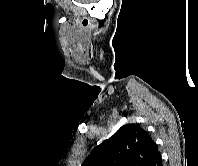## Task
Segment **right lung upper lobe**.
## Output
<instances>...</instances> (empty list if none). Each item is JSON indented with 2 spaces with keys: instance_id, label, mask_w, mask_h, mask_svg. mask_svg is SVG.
<instances>
[{
  "instance_id": "cb5924a9",
  "label": "right lung upper lobe",
  "mask_w": 198,
  "mask_h": 166,
  "mask_svg": "<svg viewBox=\"0 0 198 166\" xmlns=\"http://www.w3.org/2000/svg\"><path fill=\"white\" fill-rule=\"evenodd\" d=\"M159 154L144 129L127 124L94 148L82 166H149Z\"/></svg>"
}]
</instances>
